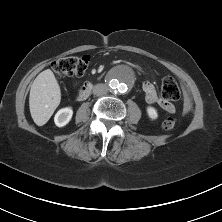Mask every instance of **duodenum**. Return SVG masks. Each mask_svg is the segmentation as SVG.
<instances>
[{
  "label": "duodenum",
  "instance_id": "410a0bca",
  "mask_svg": "<svg viewBox=\"0 0 222 222\" xmlns=\"http://www.w3.org/2000/svg\"><path fill=\"white\" fill-rule=\"evenodd\" d=\"M93 88V84L91 82H87L85 83L79 90L78 94H77V100L78 101H83L85 100L90 92L92 91Z\"/></svg>",
  "mask_w": 222,
  "mask_h": 222
}]
</instances>
